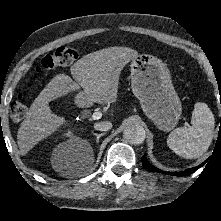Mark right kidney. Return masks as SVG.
I'll return each instance as SVG.
<instances>
[{
    "mask_svg": "<svg viewBox=\"0 0 221 221\" xmlns=\"http://www.w3.org/2000/svg\"><path fill=\"white\" fill-rule=\"evenodd\" d=\"M66 136L68 137H72V133L70 131H68L67 133H65Z\"/></svg>",
    "mask_w": 221,
    "mask_h": 221,
    "instance_id": "right-kidney-1",
    "label": "right kidney"
}]
</instances>
